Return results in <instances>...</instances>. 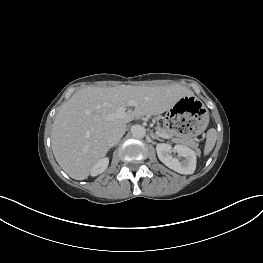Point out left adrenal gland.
<instances>
[{
  "instance_id": "obj_1",
  "label": "left adrenal gland",
  "mask_w": 263,
  "mask_h": 263,
  "mask_svg": "<svg viewBox=\"0 0 263 263\" xmlns=\"http://www.w3.org/2000/svg\"><path fill=\"white\" fill-rule=\"evenodd\" d=\"M151 138L152 139H157L159 141H162V139H160L158 136H156L153 132H151Z\"/></svg>"
}]
</instances>
